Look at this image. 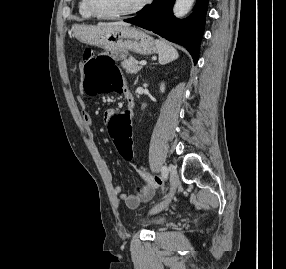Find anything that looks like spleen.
Masks as SVG:
<instances>
[{"mask_svg":"<svg viewBox=\"0 0 286 269\" xmlns=\"http://www.w3.org/2000/svg\"><path fill=\"white\" fill-rule=\"evenodd\" d=\"M159 63L164 65L179 57L177 50L163 40H156Z\"/></svg>","mask_w":286,"mask_h":269,"instance_id":"obj_1","label":"spleen"}]
</instances>
